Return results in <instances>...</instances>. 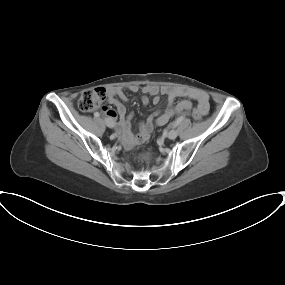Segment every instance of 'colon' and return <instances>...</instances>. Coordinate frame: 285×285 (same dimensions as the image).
<instances>
[{
	"label": "colon",
	"mask_w": 285,
	"mask_h": 285,
	"mask_svg": "<svg viewBox=\"0 0 285 285\" xmlns=\"http://www.w3.org/2000/svg\"><path fill=\"white\" fill-rule=\"evenodd\" d=\"M106 92L102 88H95L84 91L78 99V107L83 112H91L101 107L105 100ZM191 116L195 120H201L203 113L199 108H194L190 112ZM152 154L148 151L142 152L138 155V158L142 161H150Z\"/></svg>",
	"instance_id": "1"
}]
</instances>
